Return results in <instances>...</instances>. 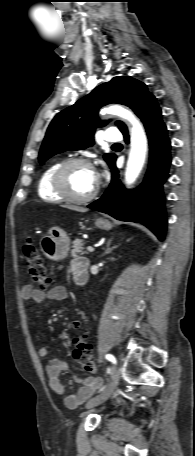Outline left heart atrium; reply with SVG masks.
Segmentation results:
<instances>
[{
    "label": "left heart atrium",
    "instance_id": "left-heart-atrium-1",
    "mask_svg": "<svg viewBox=\"0 0 195 456\" xmlns=\"http://www.w3.org/2000/svg\"><path fill=\"white\" fill-rule=\"evenodd\" d=\"M95 175H96V179H98V174H97V172H95Z\"/></svg>",
    "mask_w": 195,
    "mask_h": 456
}]
</instances>
